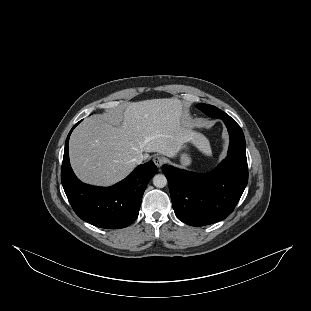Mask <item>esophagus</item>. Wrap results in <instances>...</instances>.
Returning a JSON list of instances; mask_svg holds the SVG:
<instances>
[{
    "instance_id": "34e87169",
    "label": "esophagus",
    "mask_w": 311,
    "mask_h": 311,
    "mask_svg": "<svg viewBox=\"0 0 311 311\" xmlns=\"http://www.w3.org/2000/svg\"><path fill=\"white\" fill-rule=\"evenodd\" d=\"M153 162L157 167H161L164 163H166V159L161 156H155L153 158Z\"/></svg>"
}]
</instances>
